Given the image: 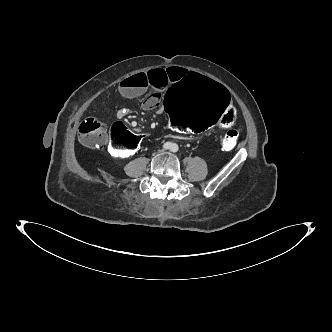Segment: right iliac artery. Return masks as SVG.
<instances>
[{
	"instance_id": "82829eb1",
	"label": "right iliac artery",
	"mask_w": 332,
	"mask_h": 332,
	"mask_svg": "<svg viewBox=\"0 0 332 332\" xmlns=\"http://www.w3.org/2000/svg\"><path fill=\"white\" fill-rule=\"evenodd\" d=\"M172 144L169 142L164 143L163 147L164 149H171Z\"/></svg>"
}]
</instances>
